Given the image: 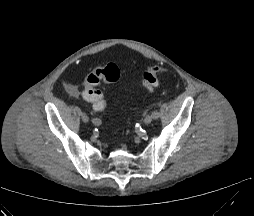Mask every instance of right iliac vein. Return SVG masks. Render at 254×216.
<instances>
[{
  "instance_id": "right-iliac-vein-1",
  "label": "right iliac vein",
  "mask_w": 254,
  "mask_h": 216,
  "mask_svg": "<svg viewBox=\"0 0 254 216\" xmlns=\"http://www.w3.org/2000/svg\"><path fill=\"white\" fill-rule=\"evenodd\" d=\"M81 120L84 123H88L89 122V117L85 113H82L81 114Z\"/></svg>"
}]
</instances>
